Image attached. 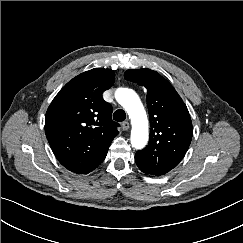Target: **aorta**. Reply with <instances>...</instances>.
<instances>
[{"label": "aorta", "instance_id": "762f6f07", "mask_svg": "<svg viewBox=\"0 0 243 243\" xmlns=\"http://www.w3.org/2000/svg\"><path fill=\"white\" fill-rule=\"evenodd\" d=\"M115 98L131 118L132 146L136 149L143 148L148 141V120L138 95L131 89L119 88L115 92Z\"/></svg>", "mask_w": 243, "mask_h": 243}]
</instances>
